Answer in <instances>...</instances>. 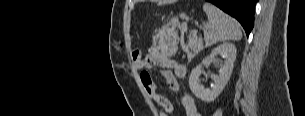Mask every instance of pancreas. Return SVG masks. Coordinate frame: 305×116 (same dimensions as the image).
Returning a JSON list of instances; mask_svg holds the SVG:
<instances>
[{
    "label": "pancreas",
    "mask_w": 305,
    "mask_h": 116,
    "mask_svg": "<svg viewBox=\"0 0 305 116\" xmlns=\"http://www.w3.org/2000/svg\"><path fill=\"white\" fill-rule=\"evenodd\" d=\"M203 49V41L200 38L194 36L189 38L187 45L183 47V50L186 52L188 58L195 57Z\"/></svg>",
    "instance_id": "cf45deb5"
}]
</instances>
